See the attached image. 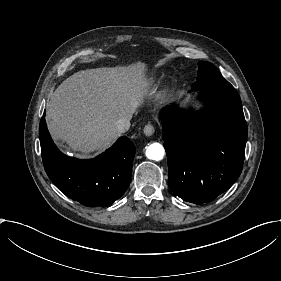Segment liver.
Instances as JSON below:
<instances>
[{
    "instance_id": "liver-1",
    "label": "liver",
    "mask_w": 281,
    "mask_h": 281,
    "mask_svg": "<svg viewBox=\"0 0 281 281\" xmlns=\"http://www.w3.org/2000/svg\"><path fill=\"white\" fill-rule=\"evenodd\" d=\"M143 61L80 70L65 79L46 104L45 121L52 140L66 144L81 159H92L110 148L120 136L116 122L131 118L155 95ZM153 104L187 107L175 99ZM93 155V156H92Z\"/></svg>"
}]
</instances>
